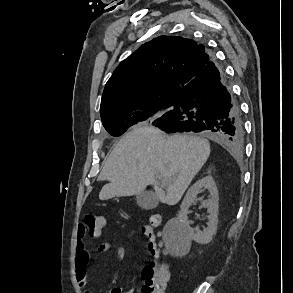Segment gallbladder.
<instances>
[{
  "mask_svg": "<svg viewBox=\"0 0 293 293\" xmlns=\"http://www.w3.org/2000/svg\"><path fill=\"white\" fill-rule=\"evenodd\" d=\"M136 202L142 209L150 210L158 205L159 199L152 191H144L136 196Z\"/></svg>",
  "mask_w": 293,
  "mask_h": 293,
  "instance_id": "1",
  "label": "gallbladder"
}]
</instances>
